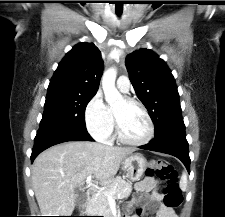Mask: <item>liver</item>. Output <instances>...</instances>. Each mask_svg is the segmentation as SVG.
<instances>
[{
	"label": "liver",
	"instance_id": "liver-1",
	"mask_svg": "<svg viewBox=\"0 0 225 217\" xmlns=\"http://www.w3.org/2000/svg\"><path fill=\"white\" fill-rule=\"evenodd\" d=\"M132 148L96 142L72 141L55 145L37 156L31 180L42 216H71L76 188L88 176L108 185Z\"/></svg>",
	"mask_w": 225,
	"mask_h": 217
}]
</instances>
